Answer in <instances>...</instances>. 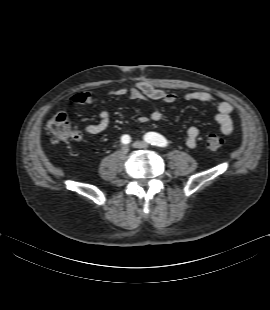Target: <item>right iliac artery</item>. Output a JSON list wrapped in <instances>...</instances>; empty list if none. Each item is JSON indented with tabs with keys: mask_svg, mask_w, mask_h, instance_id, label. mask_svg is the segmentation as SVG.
<instances>
[{
	"mask_svg": "<svg viewBox=\"0 0 270 310\" xmlns=\"http://www.w3.org/2000/svg\"><path fill=\"white\" fill-rule=\"evenodd\" d=\"M121 142H122L123 144H129V143L131 142L130 136H129V135H123V136L121 137Z\"/></svg>",
	"mask_w": 270,
	"mask_h": 310,
	"instance_id": "right-iliac-artery-1",
	"label": "right iliac artery"
}]
</instances>
